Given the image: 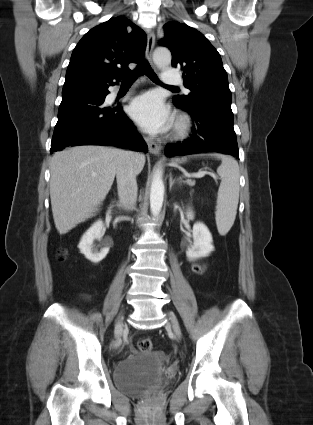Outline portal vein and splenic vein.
Masks as SVG:
<instances>
[{
	"instance_id": "obj_1",
	"label": "portal vein and splenic vein",
	"mask_w": 313,
	"mask_h": 425,
	"mask_svg": "<svg viewBox=\"0 0 313 425\" xmlns=\"http://www.w3.org/2000/svg\"><path fill=\"white\" fill-rule=\"evenodd\" d=\"M210 174L207 171H199L197 173H193V174H186L185 177L187 178H203L205 175ZM214 179H217V177L213 174H210Z\"/></svg>"
}]
</instances>
